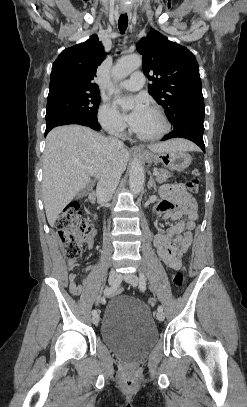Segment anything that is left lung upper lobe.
I'll return each mask as SVG.
<instances>
[{"mask_svg":"<svg viewBox=\"0 0 247 407\" xmlns=\"http://www.w3.org/2000/svg\"><path fill=\"white\" fill-rule=\"evenodd\" d=\"M142 69L153 83L149 94L165 109L171 123L188 112L205 114L199 67L185 47L151 29L136 45Z\"/></svg>","mask_w":247,"mask_h":407,"instance_id":"left-lung-upper-lobe-1","label":"left lung upper lobe"}]
</instances>
